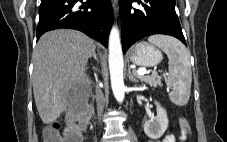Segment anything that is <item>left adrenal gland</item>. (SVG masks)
Listing matches in <instances>:
<instances>
[{"label":"left adrenal gland","instance_id":"obj_1","mask_svg":"<svg viewBox=\"0 0 227 142\" xmlns=\"http://www.w3.org/2000/svg\"><path fill=\"white\" fill-rule=\"evenodd\" d=\"M128 76H129V80L131 82H134V83H138V80L133 76V74L131 73V69L129 68L128 69Z\"/></svg>","mask_w":227,"mask_h":142}]
</instances>
